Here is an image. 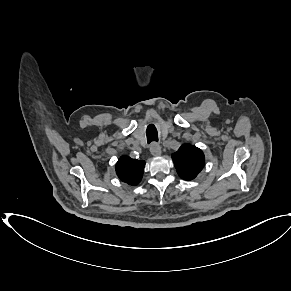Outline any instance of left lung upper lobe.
Here are the masks:
<instances>
[{
  "mask_svg": "<svg viewBox=\"0 0 291 291\" xmlns=\"http://www.w3.org/2000/svg\"><path fill=\"white\" fill-rule=\"evenodd\" d=\"M172 159L178 175L185 180L194 179L205 164L202 150L190 144L182 145Z\"/></svg>",
  "mask_w": 291,
  "mask_h": 291,
  "instance_id": "5c2ea615",
  "label": "left lung upper lobe"
}]
</instances>
